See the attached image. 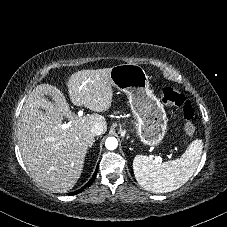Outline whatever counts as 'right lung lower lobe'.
Returning a JSON list of instances; mask_svg holds the SVG:
<instances>
[{
	"label": "right lung lower lobe",
	"mask_w": 227,
	"mask_h": 227,
	"mask_svg": "<svg viewBox=\"0 0 227 227\" xmlns=\"http://www.w3.org/2000/svg\"><path fill=\"white\" fill-rule=\"evenodd\" d=\"M97 169H98V167L96 168V171H95L94 175L92 176V178L90 179V181H89L84 187H82L81 189H79V190H77V191H75V192L69 193V195L78 194V193H80L83 189H85L86 187H89V186L92 184V182L94 181V179H95V177H96V175H97Z\"/></svg>",
	"instance_id": "1"
}]
</instances>
